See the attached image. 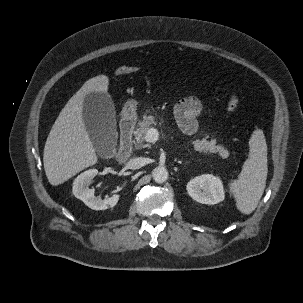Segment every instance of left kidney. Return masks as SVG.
Returning a JSON list of instances; mask_svg holds the SVG:
<instances>
[{
	"label": "left kidney",
	"instance_id": "1",
	"mask_svg": "<svg viewBox=\"0 0 303 303\" xmlns=\"http://www.w3.org/2000/svg\"><path fill=\"white\" fill-rule=\"evenodd\" d=\"M187 192L195 201L214 205L224 200V188L219 177L205 174L191 179L187 184Z\"/></svg>",
	"mask_w": 303,
	"mask_h": 303
}]
</instances>
